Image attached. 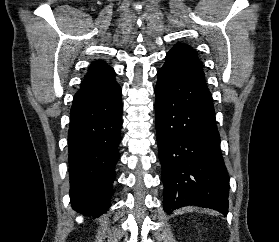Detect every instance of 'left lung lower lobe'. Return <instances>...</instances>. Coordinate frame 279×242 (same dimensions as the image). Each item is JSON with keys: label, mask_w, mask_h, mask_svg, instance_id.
Returning <instances> with one entry per match:
<instances>
[{"label": "left lung lower lobe", "mask_w": 279, "mask_h": 242, "mask_svg": "<svg viewBox=\"0 0 279 242\" xmlns=\"http://www.w3.org/2000/svg\"><path fill=\"white\" fill-rule=\"evenodd\" d=\"M157 76L156 130L164 211L170 214L194 205L227 215L229 177L204 73L182 56L168 53Z\"/></svg>", "instance_id": "1"}]
</instances>
